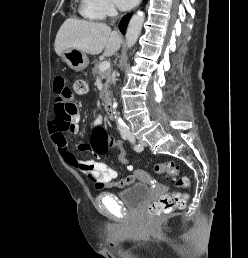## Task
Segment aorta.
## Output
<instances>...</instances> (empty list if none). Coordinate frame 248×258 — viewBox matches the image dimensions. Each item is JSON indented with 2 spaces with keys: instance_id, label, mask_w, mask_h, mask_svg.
Here are the masks:
<instances>
[{
  "instance_id": "1",
  "label": "aorta",
  "mask_w": 248,
  "mask_h": 258,
  "mask_svg": "<svg viewBox=\"0 0 248 258\" xmlns=\"http://www.w3.org/2000/svg\"><path fill=\"white\" fill-rule=\"evenodd\" d=\"M144 20H145V15L143 12H138L137 14L132 16L126 31V43L128 48H131L136 43L141 33ZM116 108H117V103L114 101L113 109H114V115H115L118 130L122 134L129 133L130 132L129 128L124 123V121L119 117L118 113L116 112Z\"/></svg>"
}]
</instances>
